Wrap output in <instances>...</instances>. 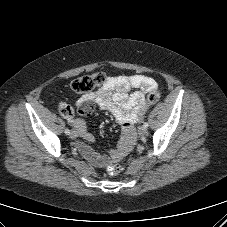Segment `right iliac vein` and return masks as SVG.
I'll use <instances>...</instances> for the list:
<instances>
[{"mask_svg": "<svg viewBox=\"0 0 227 227\" xmlns=\"http://www.w3.org/2000/svg\"><path fill=\"white\" fill-rule=\"evenodd\" d=\"M77 135H78V133H77V131L74 130V129L70 132V137H71V138H76Z\"/></svg>", "mask_w": 227, "mask_h": 227, "instance_id": "right-iliac-vein-1", "label": "right iliac vein"}]
</instances>
